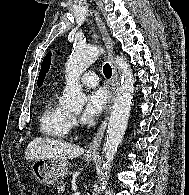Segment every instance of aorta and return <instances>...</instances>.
<instances>
[{"instance_id": "1", "label": "aorta", "mask_w": 189, "mask_h": 195, "mask_svg": "<svg viewBox=\"0 0 189 195\" xmlns=\"http://www.w3.org/2000/svg\"><path fill=\"white\" fill-rule=\"evenodd\" d=\"M101 49L97 46L76 45L66 63V86L63 92L62 105L66 109L82 110L86 96L81 90L79 79L82 73L97 59ZM115 62L121 72V85L117 92L104 144L105 161L102 165V186L108 180L114 156L122 142L130 115L134 93V78L126 60L117 56Z\"/></svg>"}]
</instances>
